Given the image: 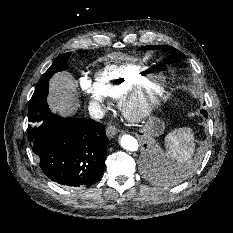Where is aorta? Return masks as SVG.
Masks as SVG:
<instances>
[{"mask_svg": "<svg viewBox=\"0 0 233 233\" xmlns=\"http://www.w3.org/2000/svg\"><path fill=\"white\" fill-rule=\"evenodd\" d=\"M121 146L128 151H136L139 147L138 141L131 135H123L120 138Z\"/></svg>", "mask_w": 233, "mask_h": 233, "instance_id": "762f6f07", "label": "aorta"}]
</instances>
